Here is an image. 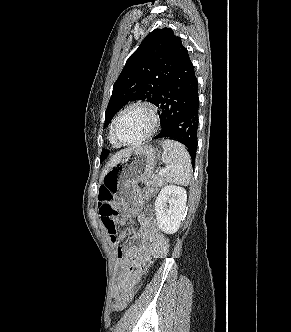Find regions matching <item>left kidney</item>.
<instances>
[{"label":"left kidney","mask_w":291,"mask_h":332,"mask_svg":"<svg viewBox=\"0 0 291 332\" xmlns=\"http://www.w3.org/2000/svg\"><path fill=\"white\" fill-rule=\"evenodd\" d=\"M186 190L175 185L164 186L155 201V214L159 228L166 234L177 232L185 214Z\"/></svg>","instance_id":"1"}]
</instances>
